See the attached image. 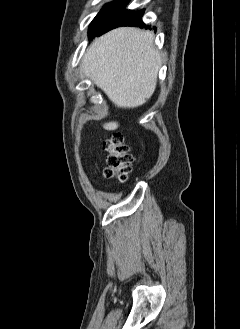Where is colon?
I'll return each instance as SVG.
<instances>
[{"mask_svg":"<svg viewBox=\"0 0 240 329\" xmlns=\"http://www.w3.org/2000/svg\"><path fill=\"white\" fill-rule=\"evenodd\" d=\"M105 149L109 153L105 176L108 179L126 181L132 169L133 158L129 152V147L124 142L123 135L121 133L112 134L105 141Z\"/></svg>","mask_w":240,"mask_h":329,"instance_id":"1","label":"colon"}]
</instances>
